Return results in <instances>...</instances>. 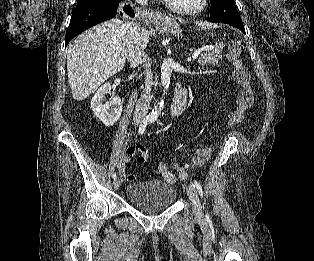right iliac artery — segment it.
I'll return each instance as SVG.
<instances>
[{
    "instance_id": "1",
    "label": "right iliac artery",
    "mask_w": 314,
    "mask_h": 261,
    "mask_svg": "<svg viewBox=\"0 0 314 261\" xmlns=\"http://www.w3.org/2000/svg\"><path fill=\"white\" fill-rule=\"evenodd\" d=\"M150 120H151V119L148 118V117H147L146 119H144V121H143V123L141 124V126H140V128H139V131H138L139 135H142V134L144 133V131H145L146 127H147V124H148V122H149ZM112 177H113V179H116V178H117V174H116V173H113Z\"/></svg>"
}]
</instances>
